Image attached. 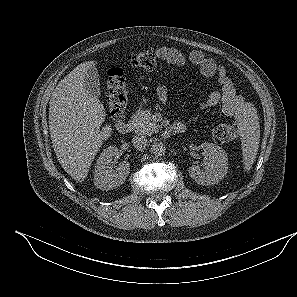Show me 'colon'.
Segmentation results:
<instances>
[{"label": "colon", "instance_id": "obj_1", "mask_svg": "<svg viewBox=\"0 0 297 297\" xmlns=\"http://www.w3.org/2000/svg\"><path fill=\"white\" fill-rule=\"evenodd\" d=\"M133 67L146 71H153L157 67L156 53L152 49H143L130 56ZM107 102L110 116L115 123L122 120L128 103L126 78L120 67H113L107 74ZM212 136L219 143H230L237 136L234 124L217 122L212 126Z\"/></svg>", "mask_w": 297, "mask_h": 297}]
</instances>
